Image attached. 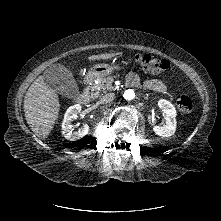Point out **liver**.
<instances>
[{"mask_svg":"<svg viewBox=\"0 0 221 221\" xmlns=\"http://www.w3.org/2000/svg\"><path fill=\"white\" fill-rule=\"evenodd\" d=\"M115 54H112L114 56ZM109 55L100 54L89 56V60L107 59ZM59 98L39 76L29 87L24 103L27 123L38 136L45 138L58 118Z\"/></svg>","mask_w":221,"mask_h":221,"instance_id":"6515ba94","label":"liver"}]
</instances>
